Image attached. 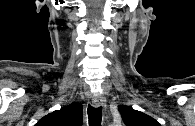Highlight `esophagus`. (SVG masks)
I'll list each match as a JSON object with an SVG mask.
<instances>
[{"label":"esophagus","instance_id":"1","mask_svg":"<svg viewBox=\"0 0 195 126\" xmlns=\"http://www.w3.org/2000/svg\"><path fill=\"white\" fill-rule=\"evenodd\" d=\"M92 105L94 107L104 106V100L101 96H93L92 98Z\"/></svg>","mask_w":195,"mask_h":126}]
</instances>
